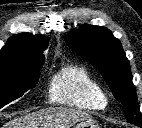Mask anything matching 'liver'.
Listing matches in <instances>:
<instances>
[{"label":"liver","instance_id":"obj_1","mask_svg":"<svg viewBox=\"0 0 142 128\" xmlns=\"http://www.w3.org/2000/svg\"><path fill=\"white\" fill-rule=\"evenodd\" d=\"M91 118L85 112L68 108H48L13 119L2 128H70L74 123Z\"/></svg>","mask_w":142,"mask_h":128}]
</instances>
